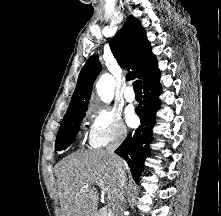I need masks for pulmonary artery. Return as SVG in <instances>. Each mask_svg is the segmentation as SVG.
Returning <instances> with one entry per match:
<instances>
[{
	"mask_svg": "<svg viewBox=\"0 0 221 216\" xmlns=\"http://www.w3.org/2000/svg\"><path fill=\"white\" fill-rule=\"evenodd\" d=\"M124 97L126 101L133 102L136 98L135 93L133 91V88L131 86H128L124 92Z\"/></svg>",
	"mask_w": 221,
	"mask_h": 216,
	"instance_id": "1",
	"label": "pulmonary artery"
}]
</instances>
